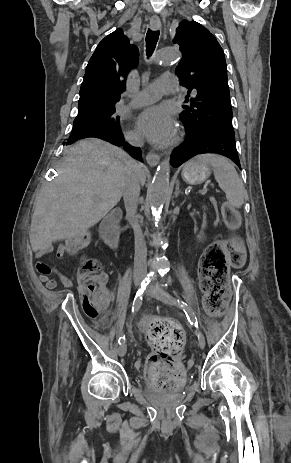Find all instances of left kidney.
I'll list each match as a JSON object with an SVG mask.
<instances>
[{
    "instance_id": "left-kidney-1",
    "label": "left kidney",
    "mask_w": 291,
    "mask_h": 463,
    "mask_svg": "<svg viewBox=\"0 0 291 463\" xmlns=\"http://www.w3.org/2000/svg\"><path fill=\"white\" fill-rule=\"evenodd\" d=\"M206 223H207L206 222V214H204V217H203V229L206 227ZM203 237H204V232L202 231L201 234L198 236V238L201 239Z\"/></svg>"
}]
</instances>
